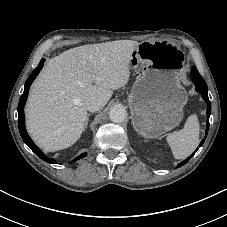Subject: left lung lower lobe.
Returning a JSON list of instances; mask_svg holds the SVG:
<instances>
[{
  "instance_id": "0a47b994",
  "label": "left lung lower lobe",
  "mask_w": 227,
  "mask_h": 227,
  "mask_svg": "<svg viewBox=\"0 0 227 227\" xmlns=\"http://www.w3.org/2000/svg\"><path fill=\"white\" fill-rule=\"evenodd\" d=\"M192 81L196 86V91L199 92L202 95V98L204 99V101L207 104V127H206V135L204 137V139L201 141L199 146H202L206 137H207V133H208V129H209V116L211 113V103L209 101L208 98V89H207V85L206 82L204 80H199L197 76H192ZM198 150V148L196 149V151ZM195 151V152H196ZM195 152L189 156L187 159H185L184 161H182L181 163L178 164L177 168L185 165L190 159L191 157L195 154Z\"/></svg>"
}]
</instances>
